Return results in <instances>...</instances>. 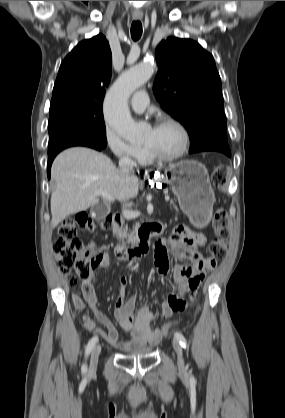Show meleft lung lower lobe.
Listing matches in <instances>:
<instances>
[{"instance_id": "obj_1", "label": "left lung lower lobe", "mask_w": 285, "mask_h": 418, "mask_svg": "<svg viewBox=\"0 0 285 418\" xmlns=\"http://www.w3.org/2000/svg\"><path fill=\"white\" fill-rule=\"evenodd\" d=\"M223 153V152H222ZM228 157H230L231 156V153H225Z\"/></svg>"}]
</instances>
